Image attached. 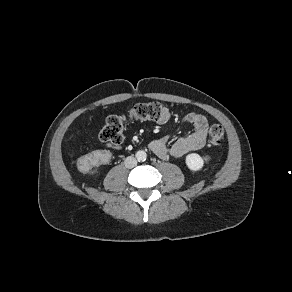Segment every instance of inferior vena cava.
Listing matches in <instances>:
<instances>
[{"label":"inferior vena cava","instance_id":"1","mask_svg":"<svg viewBox=\"0 0 292 292\" xmlns=\"http://www.w3.org/2000/svg\"><path fill=\"white\" fill-rule=\"evenodd\" d=\"M125 166L126 168H133L137 165V160L136 158H134L133 156H128L126 159H125Z\"/></svg>","mask_w":292,"mask_h":292}]
</instances>
